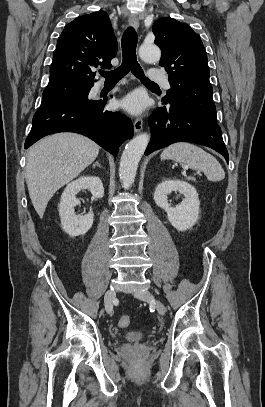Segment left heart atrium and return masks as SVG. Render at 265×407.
<instances>
[{"mask_svg": "<svg viewBox=\"0 0 265 407\" xmlns=\"http://www.w3.org/2000/svg\"><path fill=\"white\" fill-rule=\"evenodd\" d=\"M121 106L131 114H140L145 108V98L140 93H131L122 100Z\"/></svg>", "mask_w": 265, "mask_h": 407, "instance_id": "obj_1", "label": "left heart atrium"}]
</instances>
